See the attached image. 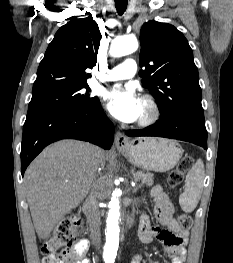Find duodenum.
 I'll use <instances>...</instances> for the list:
<instances>
[{"instance_id":"410a0bca","label":"duodenum","mask_w":233,"mask_h":263,"mask_svg":"<svg viewBox=\"0 0 233 263\" xmlns=\"http://www.w3.org/2000/svg\"><path fill=\"white\" fill-rule=\"evenodd\" d=\"M131 224H132V219L129 218V220H128V226H130Z\"/></svg>"}]
</instances>
